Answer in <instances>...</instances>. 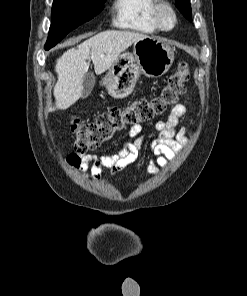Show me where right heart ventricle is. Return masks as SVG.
Returning a JSON list of instances; mask_svg holds the SVG:
<instances>
[{"label":"right heart ventricle","mask_w":247,"mask_h":296,"mask_svg":"<svg viewBox=\"0 0 247 296\" xmlns=\"http://www.w3.org/2000/svg\"><path fill=\"white\" fill-rule=\"evenodd\" d=\"M157 0H115L113 24L122 29L151 34L160 29L155 22Z\"/></svg>","instance_id":"1"}]
</instances>
